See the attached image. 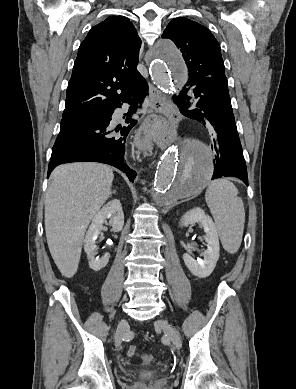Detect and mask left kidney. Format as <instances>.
Segmentation results:
<instances>
[{"label": "left kidney", "instance_id": "5707ae66", "mask_svg": "<svg viewBox=\"0 0 296 389\" xmlns=\"http://www.w3.org/2000/svg\"><path fill=\"white\" fill-rule=\"evenodd\" d=\"M195 223L202 225L204 228L207 250L203 253V260H195L190 255V250L183 255V260L194 276L206 278L213 272L219 259V239L212 219L201 208H193L187 211L180 220V226L194 225Z\"/></svg>", "mask_w": 296, "mask_h": 389}]
</instances>
